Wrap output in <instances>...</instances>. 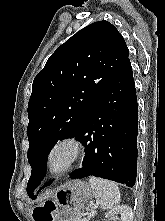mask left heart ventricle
<instances>
[{
  "label": "left heart ventricle",
  "mask_w": 165,
  "mask_h": 221,
  "mask_svg": "<svg viewBox=\"0 0 165 221\" xmlns=\"http://www.w3.org/2000/svg\"><path fill=\"white\" fill-rule=\"evenodd\" d=\"M71 158V150L67 146L57 148L51 157V164L54 169L64 168Z\"/></svg>",
  "instance_id": "obj_1"
}]
</instances>
